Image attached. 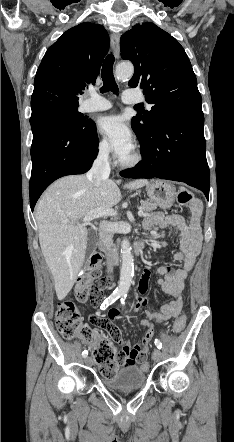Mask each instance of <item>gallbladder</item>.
<instances>
[{
  "label": "gallbladder",
  "mask_w": 234,
  "mask_h": 442,
  "mask_svg": "<svg viewBox=\"0 0 234 442\" xmlns=\"http://www.w3.org/2000/svg\"><path fill=\"white\" fill-rule=\"evenodd\" d=\"M95 246H96V244H95L94 234L91 231H89L86 254H85L86 259L89 258L90 255L94 252Z\"/></svg>",
  "instance_id": "bac80fb5"
}]
</instances>
